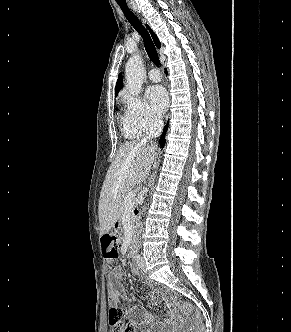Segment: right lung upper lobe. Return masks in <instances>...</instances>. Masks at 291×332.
Instances as JSON below:
<instances>
[{
  "label": "right lung upper lobe",
  "mask_w": 291,
  "mask_h": 332,
  "mask_svg": "<svg viewBox=\"0 0 291 332\" xmlns=\"http://www.w3.org/2000/svg\"><path fill=\"white\" fill-rule=\"evenodd\" d=\"M146 27L149 29L155 45L157 46V48H160V42H159L156 34L148 27V25H146ZM122 86H123V78H122V75L119 74V77H118V80L116 83V88H115V95L118 94V92L122 88Z\"/></svg>",
  "instance_id": "cb5924a9"
}]
</instances>
